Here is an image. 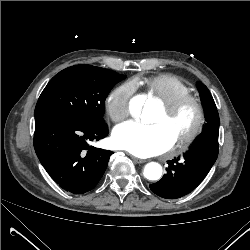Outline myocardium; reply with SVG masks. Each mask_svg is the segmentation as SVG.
<instances>
[{
  "label": "myocardium",
  "mask_w": 250,
  "mask_h": 250,
  "mask_svg": "<svg viewBox=\"0 0 250 250\" xmlns=\"http://www.w3.org/2000/svg\"><path fill=\"white\" fill-rule=\"evenodd\" d=\"M162 105L167 118L175 116L187 106L193 107L195 111V121L192 127L185 134L175 139V144L179 148H185L189 146L201 133L205 124L206 114L201 99L197 95L189 92L175 98L170 102L162 103Z\"/></svg>",
  "instance_id": "myocardium-1"
}]
</instances>
